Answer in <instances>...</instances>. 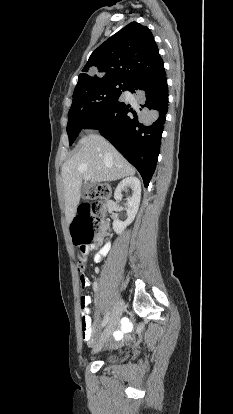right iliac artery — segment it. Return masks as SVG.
<instances>
[{
    "instance_id": "right-iliac-artery-1",
    "label": "right iliac artery",
    "mask_w": 233,
    "mask_h": 414,
    "mask_svg": "<svg viewBox=\"0 0 233 414\" xmlns=\"http://www.w3.org/2000/svg\"><path fill=\"white\" fill-rule=\"evenodd\" d=\"M108 320H109V316L107 315V316L104 318L103 322H102V327H104V326L107 324Z\"/></svg>"
}]
</instances>
